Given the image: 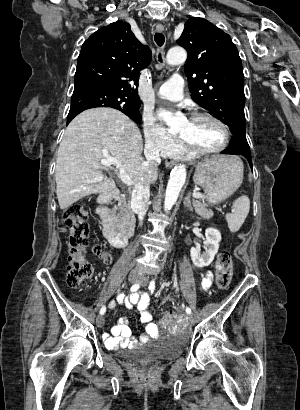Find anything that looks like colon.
I'll use <instances>...</instances> for the list:
<instances>
[{
  "label": "colon",
  "mask_w": 300,
  "mask_h": 410,
  "mask_svg": "<svg viewBox=\"0 0 300 410\" xmlns=\"http://www.w3.org/2000/svg\"><path fill=\"white\" fill-rule=\"evenodd\" d=\"M64 223L69 232L67 283L71 287H78L93 274L91 264L85 259L86 250L90 245V229L84 204L81 202L71 204L64 212ZM93 251L106 261L110 260V255L102 244H96ZM216 270V286L219 290H226L233 275V259L229 250H222L218 254ZM176 322L177 316L174 312H168L163 319V325L169 328L174 327Z\"/></svg>",
  "instance_id": "obj_1"
}]
</instances>
